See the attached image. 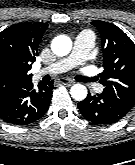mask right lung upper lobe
Masks as SVG:
<instances>
[{"label": "right lung upper lobe", "mask_w": 135, "mask_h": 165, "mask_svg": "<svg viewBox=\"0 0 135 165\" xmlns=\"http://www.w3.org/2000/svg\"><path fill=\"white\" fill-rule=\"evenodd\" d=\"M47 23H19L0 32V83L30 81L28 74L38 56Z\"/></svg>", "instance_id": "cb5924a9"}]
</instances>
